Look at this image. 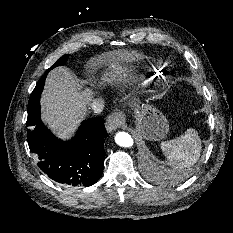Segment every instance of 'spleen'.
I'll return each instance as SVG.
<instances>
[{"mask_svg":"<svg viewBox=\"0 0 233 233\" xmlns=\"http://www.w3.org/2000/svg\"><path fill=\"white\" fill-rule=\"evenodd\" d=\"M161 149L173 166L170 176L175 177L178 173L187 174L197 162L201 153V140L197 131L189 128L180 137L162 142Z\"/></svg>","mask_w":233,"mask_h":233,"instance_id":"obj_1","label":"spleen"}]
</instances>
